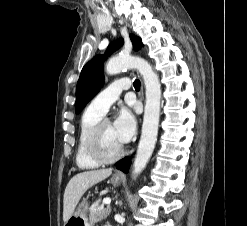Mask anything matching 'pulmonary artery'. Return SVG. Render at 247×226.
<instances>
[{"mask_svg":"<svg viewBox=\"0 0 247 226\" xmlns=\"http://www.w3.org/2000/svg\"><path fill=\"white\" fill-rule=\"evenodd\" d=\"M129 88L130 82L127 78L118 79L97 94L90 102L89 107L104 115L109 107L119 98L121 92Z\"/></svg>","mask_w":247,"mask_h":226,"instance_id":"pulmonary-artery-1","label":"pulmonary artery"}]
</instances>
